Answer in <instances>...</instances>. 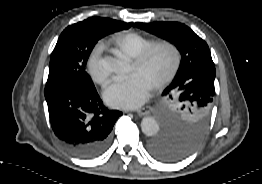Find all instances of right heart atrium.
Instances as JSON below:
<instances>
[{
	"label": "right heart atrium",
	"mask_w": 262,
	"mask_h": 184,
	"mask_svg": "<svg viewBox=\"0 0 262 184\" xmlns=\"http://www.w3.org/2000/svg\"><path fill=\"white\" fill-rule=\"evenodd\" d=\"M87 72L90 79L103 88L107 87L111 82L113 74L108 59L102 56L100 46H96L90 53Z\"/></svg>",
	"instance_id": "obj_1"
}]
</instances>
